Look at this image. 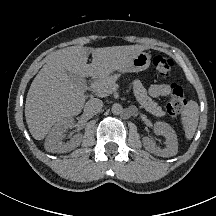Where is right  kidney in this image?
I'll return each instance as SVG.
<instances>
[{
    "mask_svg": "<svg viewBox=\"0 0 216 216\" xmlns=\"http://www.w3.org/2000/svg\"><path fill=\"white\" fill-rule=\"evenodd\" d=\"M74 126V119L64 118L57 122L45 140V149L52 153H66L77 148L82 141V134H76L67 143L62 142L63 133Z\"/></svg>",
    "mask_w": 216,
    "mask_h": 216,
    "instance_id": "obj_1",
    "label": "right kidney"
}]
</instances>
